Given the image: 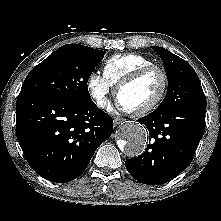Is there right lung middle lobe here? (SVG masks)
I'll list each match as a JSON object with an SVG mask.
<instances>
[{
  "label": "right lung middle lobe",
  "mask_w": 221,
  "mask_h": 221,
  "mask_svg": "<svg viewBox=\"0 0 221 221\" xmlns=\"http://www.w3.org/2000/svg\"><path fill=\"white\" fill-rule=\"evenodd\" d=\"M104 51L80 44H66L34 67L20 95L31 94L69 102H88L87 81Z\"/></svg>",
  "instance_id": "dd1d6c3e"
}]
</instances>
